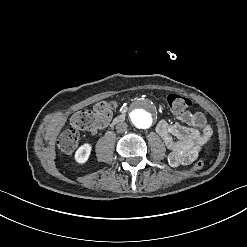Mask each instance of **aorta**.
<instances>
[{
	"instance_id": "1",
	"label": "aorta",
	"mask_w": 247,
	"mask_h": 247,
	"mask_svg": "<svg viewBox=\"0 0 247 247\" xmlns=\"http://www.w3.org/2000/svg\"><path fill=\"white\" fill-rule=\"evenodd\" d=\"M133 122L138 128L146 129L151 125V117L141 111L134 117Z\"/></svg>"
}]
</instances>
